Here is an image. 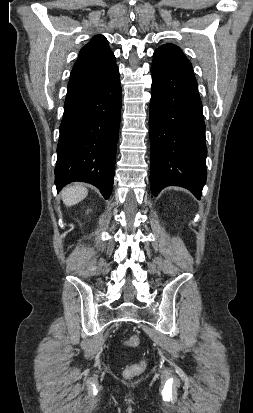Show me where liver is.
I'll list each match as a JSON object with an SVG mask.
<instances>
[{
	"instance_id": "obj_1",
	"label": "liver",
	"mask_w": 253,
	"mask_h": 413,
	"mask_svg": "<svg viewBox=\"0 0 253 413\" xmlns=\"http://www.w3.org/2000/svg\"><path fill=\"white\" fill-rule=\"evenodd\" d=\"M87 194L88 191L84 186L75 184L64 188L61 192V197L66 206H72L82 201Z\"/></svg>"
}]
</instances>
